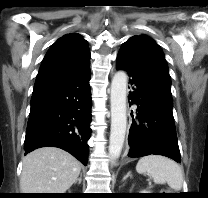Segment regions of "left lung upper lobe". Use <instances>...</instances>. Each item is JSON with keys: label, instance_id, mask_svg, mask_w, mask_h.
<instances>
[{"label": "left lung upper lobe", "instance_id": "left-lung-upper-lobe-1", "mask_svg": "<svg viewBox=\"0 0 208 198\" xmlns=\"http://www.w3.org/2000/svg\"><path fill=\"white\" fill-rule=\"evenodd\" d=\"M127 42H138L140 50L144 53V56L150 62L155 74L158 76L160 82L164 84L168 89L171 86L170 75L168 66L163 55V52L159 45L149 38L148 36H134L131 37Z\"/></svg>", "mask_w": 208, "mask_h": 198}]
</instances>
